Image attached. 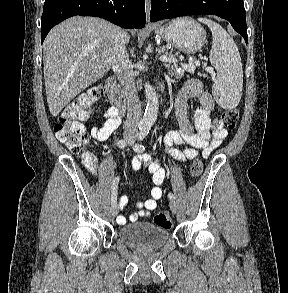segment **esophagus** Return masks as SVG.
<instances>
[{
  "instance_id": "esophagus-1",
  "label": "esophagus",
  "mask_w": 288,
  "mask_h": 293,
  "mask_svg": "<svg viewBox=\"0 0 288 293\" xmlns=\"http://www.w3.org/2000/svg\"><path fill=\"white\" fill-rule=\"evenodd\" d=\"M150 10H151L150 0H146L145 11H146V17H147V24L148 25L150 24V22H149Z\"/></svg>"
}]
</instances>
